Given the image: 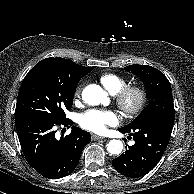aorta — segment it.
<instances>
[{
    "label": "aorta",
    "mask_w": 194,
    "mask_h": 194,
    "mask_svg": "<svg viewBox=\"0 0 194 194\" xmlns=\"http://www.w3.org/2000/svg\"><path fill=\"white\" fill-rule=\"evenodd\" d=\"M82 99L89 105H99L107 100V93L96 84L87 86L82 92ZM123 150V143L120 140H111L107 144V151L110 154L118 155Z\"/></svg>",
    "instance_id": "aorta-1"
}]
</instances>
